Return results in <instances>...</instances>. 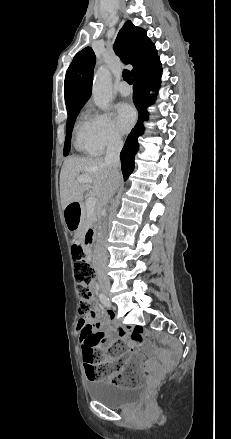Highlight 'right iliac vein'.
Masks as SVG:
<instances>
[{"instance_id": "obj_1", "label": "right iliac vein", "mask_w": 231, "mask_h": 439, "mask_svg": "<svg viewBox=\"0 0 231 439\" xmlns=\"http://www.w3.org/2000/svg\"><path fill=\"white\" fill-rule=\"evenodd\" d=\"M108 288H109V286H107V287L105 288V290L108 291Z\"/></svg>"}]
</instances>
